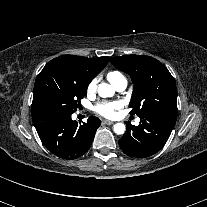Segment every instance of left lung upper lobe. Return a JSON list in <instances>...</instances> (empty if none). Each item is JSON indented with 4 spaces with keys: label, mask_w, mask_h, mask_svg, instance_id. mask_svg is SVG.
<instances>
[{
    "label": "left lung upper lobe",
    "mask_w": 207,
    "mask_h": 207,
    "mask_svg": "<svg viewBox=\"0 0 207 207\" xmlns=\"http://www.w3.org/2000/svg\"><path fill=\"white\" fill-rule=\"evenodd\" d=\"M110 62L129 74L134 84L130 114L150 113L177 115V89L173 76L158 60L144 55L112 57Z\"/></svg>",
    "instance_id": "obj_1"
}]
</instances>
